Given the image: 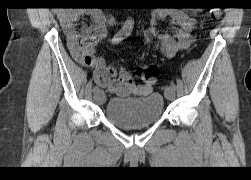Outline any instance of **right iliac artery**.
Masks as SVG:
<instances>
[{"label": "right iliac artery", "mask_w": 251, "mask_h": 180, "mask_svg": "<svg viewBox=\"0 0 251 180\" xmlns=\"http://www.w3.org/2000/svg\"><path fill=\"white\" fill-rule=\"evenodd\" d=\"M133 25H134V21L132 18H128L123 27L114 35V37L112 38V43L114 44H118L121 40L127 38L133 29ZM99 87L98 86H94L93 87V92L97 93L99 91Z\"/></svg>", "instance_id": "right-iliac-artery-1"}]
</instances>
